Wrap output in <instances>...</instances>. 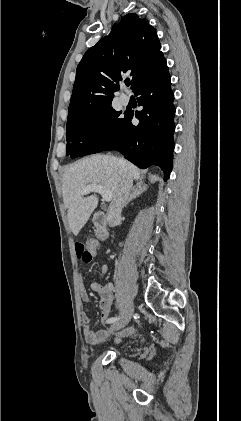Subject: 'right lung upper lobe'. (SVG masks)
I'll list each match as a JSON object with an SVG mask.
<instances>
[{
  "label": "right lung upper lobe",
  "mask_w": 241,
  "mask_h": 421,
  "mask_svg": "<svg viewBox=\"0 0 241 421\" xmlns=\"http://www.w3.org/2000/svg\"><path fill=\"white\" fill-rule=\"evenodd\" d=\"M160 49L149 21L134 13L125 15L79 63L67 123L111 107L113 93L126 74L132 76L134 90L163 57Z\"/></svg>",
  "instance_id": "cb5924a9"
}]
</instances>
